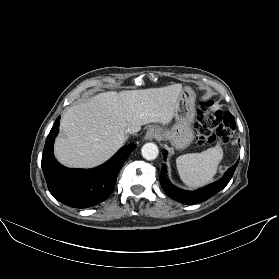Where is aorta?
<instances>
[{"label": "aorta", "instance_id": "obj_1", "mask_svg": "<svg viewBox=\"0 0 279 279\" xmlns=\"http://www.w3.org/2000/svg\"><path fill=\"white\" fill-rule=\"evenodd\" d=\"M159 153L158 147L154 143H146L141 149V154L146 160H154Z\"/></svg>", "mask_w": 279, "mask_h": 279}]
</instances>
